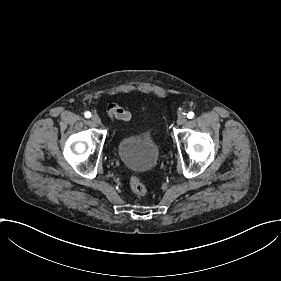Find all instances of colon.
<instances>
[{
  "label": "colon",
  "instance_id": "5ec220e1",
  "mask_svg": "<svg viewBox=\"0 0 281 281\" xmlns=\"http://www.w3.org/2000/svg\"><path fill=\"white\" fill-rule=\"evenodd\" d=\"M129 189L137 198L145 197L149 193L148 185L140 176L137 175H134L129 179Z\"/></svg>",
  "mask_w": 281,
  "mask_h": 281
}]
</instances>
